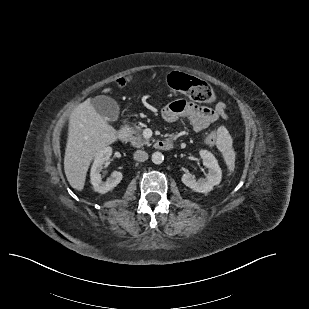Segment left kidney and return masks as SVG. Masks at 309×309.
I'll return each mask as SVG.
<instances>
[{
	"instance_id": "obj_1",
	"label": "left kidney",
	"mask_w": 309,
	"mask_h": 309,
	"mask_svg": "<svg viewBox=\"0 0 309 309\" xmlns=\"http://www.w3.org/2000/svg\"><path fill=\"white\" fill-rule=\"evenodd\" d=\"M199 153L204 166L208 168V174L206 178L196 181L190 173H185L182 175L181 180L186 186L196 192L208 193L215 185L220 184L222 171L215 156L211 152L207 150H201Z\"/></svg>"
}]
</instances>
